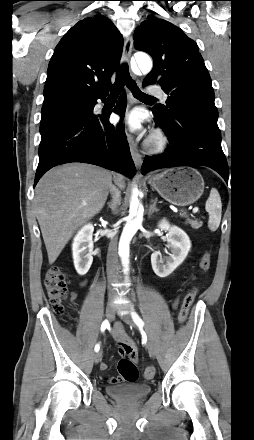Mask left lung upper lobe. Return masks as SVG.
<instances>
[{
	"mask_svg": "<svg viewBox=\"0 0 254 440\" xmlns=\"http://www.w3.org/2000/svg\"><path fill=\"white\" fill-rule=\"evenodd\" d=\"M134 40L154 60L143 84L158 83L168 94L167 107L155 108L160 115L173 118V108L181 106L218 117L210 75L192 39L172 23L150 18L135 29Z\"/></svg>",
	"mask_w": 254,
	"mask_h": 440,
	"instance_id": "left-lung-upper-lobe-1",
	"label": "left lung upper lobe"
}]
</instances>
